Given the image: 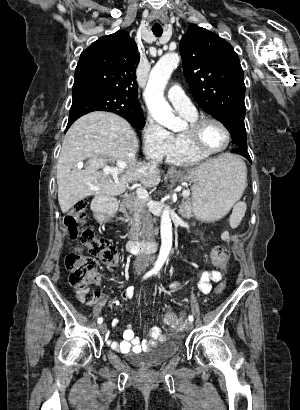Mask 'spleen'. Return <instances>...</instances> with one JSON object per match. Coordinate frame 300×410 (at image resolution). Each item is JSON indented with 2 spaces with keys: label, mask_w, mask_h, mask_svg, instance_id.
Segmentation results:
<instances>
[{
  "label": "spleen",
  "mask_w": 300,
  "mask_h": 410,
  "mask_svg": "<svg viewBox=\"0 0 300 410\" xmlns=\"http://www.w3.org/2000/svg\"><path fill=\"white\" fill-rule=\"evenodd\" d=\"M239 168L243 172V184H244V187H246L247 170H246V166H245L244 162L241 161V160L239 161ZM246 207L247 206H246L245 202H238V203L235 204V206L233 208V211H232V214L230 215V226L232 228H236L240 224L242 218L245 215Z\"/></svg>",
  "instance_id": "spleen-1"
}]
</instances>
